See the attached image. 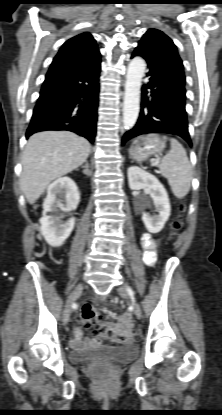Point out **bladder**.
I'll list each match as a JSON object with an SVG mask.
<instances>
[{"mask_svg": "<svg viewBox=\"0 0 222 415\" xmlns=\"http://www.w3.org/2000/svg\"><path fill=\"white\" fill-rule=\"evenodd\" d=\"M139 352L135 343H125L119 346H99L94 348L71 347L69 358L75 363H84L98 357H104L114 362L123 363L133 360Z\"/></svg>", "mask_w": 222, "mask_h": 415, "instance_id": "1", "label": "bladder"}]
</instances>
